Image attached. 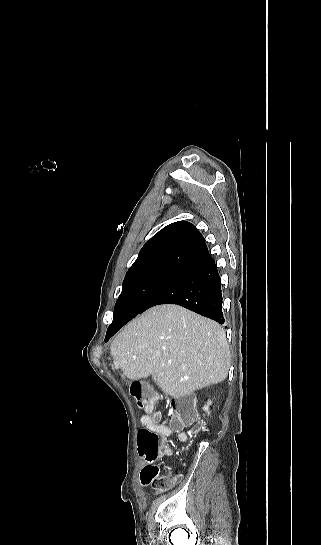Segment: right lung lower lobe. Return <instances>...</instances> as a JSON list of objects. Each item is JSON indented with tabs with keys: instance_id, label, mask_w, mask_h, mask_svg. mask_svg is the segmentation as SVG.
<instances>
[{
	"instance_id": "98d812e1",
	"label": "right lung lower lobe",
	"mask_w": 321,
	"mask_h": 545,
	"mask_svg": "<svg viewBox=\"0 0 321 545\" xmlns=\"http://www.w3.org/2000/svg\"><path fill=\"white\" fill-rule=\"evenodd\" d=\"M159 304H178L224 324L220 277L207 248L176 268L137 314ZM131 319L112 322L105 341Z\"/></svg>"
}]
</instances>
